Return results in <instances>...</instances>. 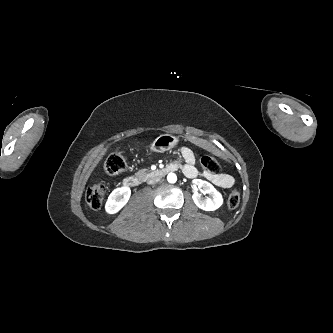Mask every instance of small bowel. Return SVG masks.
<instances>
[{"label":"small bowel","instance_id":"c3829d8e","mask_svg":"<svg viewBox=\"0 0 333 333\" xmlns=\"http://www.w3.org/2000/svg\"><path fill=\"white\" fill-rule=\"evenodd\" d=\"M182 158L184 160V164L180 165V164H176L177 167H181L183 173L189 177V178H196L199 173L198 170L195 166V155L193 153V151L188 148V147H182L180 149ZM202 176L208 180L209 182H211L213 185L220 187V188H230L233 186L234 184V179L231 175L226 174V173H217V174H212L209 173L207 171L203 172Z\"/></svg>","mask_w":333,"mask_h":333}]
</instances>
